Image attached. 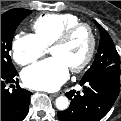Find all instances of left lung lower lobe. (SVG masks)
Wrapping results in <instances>:
<instances>
[{"label": "left lung lower lobe", "mask_w": 121, "mask_h": 121, "mask_svg": "<svg viewBox=\"0 0 121 121\" xmlns=\"http://www.w3.org/2000/svg\"><path fill=\"white\" fill-rule=\"evenodd\" d=\"M82 95L75 90L66 93L70 106L58 112L61 121H99L111 109L120 91V77L93 75L82 78ZM76 93V94H75Z\"/></svg>", "instance_id": "0a47b994"}]
</instances>
